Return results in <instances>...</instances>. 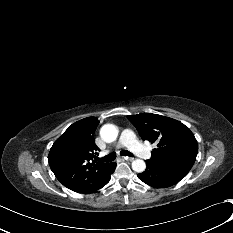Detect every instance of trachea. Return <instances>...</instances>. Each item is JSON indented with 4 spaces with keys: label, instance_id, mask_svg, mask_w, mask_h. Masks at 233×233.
Wrapping results in <instances>:
<instances>
[{
    "label": "trachea",
    "instance_id": "obj_1",
    "mask_svg": "<svg viewBox=\"0 0 233 233\" xmlns=\"http://www.w3.org/2000/svg\"><path fill=\"white\" fill-rule=\"evenodd\" d=\"M121 155L123 156H129V157H133V154L127 150H122L120 152ZM116 158V154L115 153H111V154H108L107 156L103 157V158H98L99 161H102V162H112L114 161Z\"/></svg>",
    "mask_w": 233,
    "mask_h": 233
}]
</instances>
